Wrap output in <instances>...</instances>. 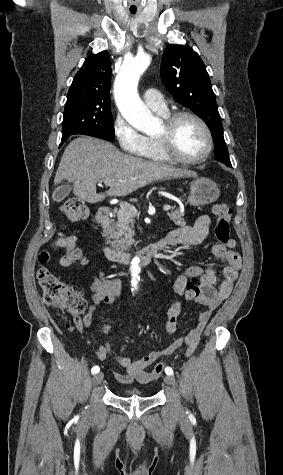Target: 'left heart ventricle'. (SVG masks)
Returning <instances> with one entry per match:
<instances>
[{
  "instance_id": "obj_1",
  "label": "left heart ventricle",
  "mask_w": 283,
  "mask_h": 475,
  "mask_svg": "<svg viewBox=\"0 0 283 475\" xmlns=\"http://www.w3.org/2000/svg\"><path fill=\"white\" fill-rule=\"evenodd\" d=\"M164 128L156 137L164 135ZM206 136L198 122L191 118L181 119L175 126L172 143L166 144V152L172 157L192 158L204 152Z\"/></svg>"
}]
</instances>
